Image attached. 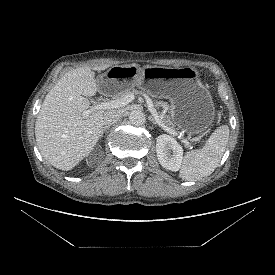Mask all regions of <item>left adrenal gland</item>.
<instances>
[{"instance_id":"left-adrenal-gland-1","label":"left adrenal gland","mask_w":275,"mask_h":275,"mask_svg":"<svg viewBox=\"0 0 275 275\" xmlns=\"http://www.w3.org/2000/svg\"><path fill=\"white\" fill-rule=\"evenodd\" d=\"M149 120L153 123V124H157V122L155 121V119L152 116H149Z\"/></svg>"}]
</instances>
